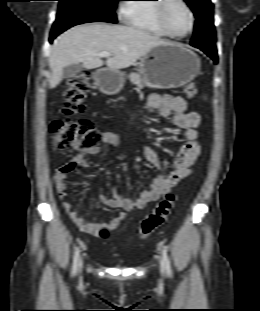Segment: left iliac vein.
Segmentation results:
<instances>
[{"label":"left iliac vein","mask_w":260,"mask_h":311,"mask_svg":"<svg viewBox=\"0 0 260 311\" xmlns=\"http://www.w3.org/2000/svg\"><path fill=\"white\" fill-rule=\"evenodd\" d=\"M160 268H161V271L164 272L165 271V265H164V262L162 259H160Z\"/></svg>","instance_id":"obj_1"}]
</instances>
